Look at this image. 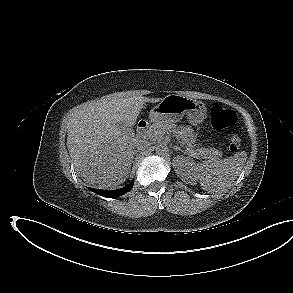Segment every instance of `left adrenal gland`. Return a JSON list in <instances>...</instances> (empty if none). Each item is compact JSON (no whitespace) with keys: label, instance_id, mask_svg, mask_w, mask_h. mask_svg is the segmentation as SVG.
<instances>
[{"label":"left adrenal gland","instance_id":"left-adrenal-gland-1","mask_svg":"<svg viewBox=\"0 0 293 293\" xmlns=\"http://www.w3.org/2000/svg\"><path fill=\"white\" fill-rule=\"evenodd\" d=\"M173 149H174L175 151L180 150V148H179L178 146H174Z\"/></svg>","mask_w":293,"mask_h":293}]
</instances>
